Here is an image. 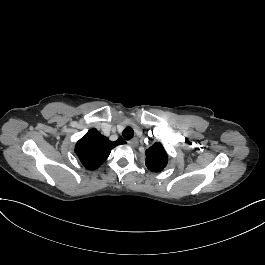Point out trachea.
<instances>
[{"label":"trachea","instance_id":"3493384b","mask_svg":"<svg viewBox=\"0 0 265 265\" xmlns=\"http://www.w3.org/2000/svg\"><path fill=\"white\" fill-rule=\"evenodd\" d=\"M122 135L126 140H130L134 136V131L132 128L128 127L124 129Z\"/></svg>","mask_w":265,"mask_h":265}]
</instances>
